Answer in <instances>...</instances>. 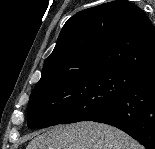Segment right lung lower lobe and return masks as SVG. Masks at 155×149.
I'll use <instances>...</instances> for the list:
<instances>
[{
    "label": "right lung lower lobe",
    "instance_id": "98d812e1",
    "mask_svg": "<svg viewBox=\"0 0 155 149\" xmlns=\"http://www.w3.org/2000/svg\"><path fill=\"white\" fill-rule=\"evenodd\" d=\"M90 121L115 126L155 149V73L145 75Z\"/></svg>",
    "mask_w": 155,
    "mask_h": 149
}]
</instances>
